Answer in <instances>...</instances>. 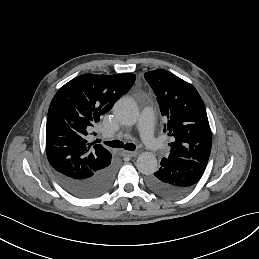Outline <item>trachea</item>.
I'll return each mask as SVG.
<instances>
[{"instance_id": "trachea-1", "label": "trachea", "mask_w": 259, "mask_h": 259, "mask_svg": "<svg viewBox=\"0 0 259 259\" xmlns=\"http://www.w3.org/2000/svg\"><path fill=\"white\" fill-rule=\"evenodd\" d=\"M98 142H101V139H98ZM104 144L107 146H110L112 148H124L125 150L134 151L136 149V146L133 143H126L119 140H113V141H103Z\"/></svg>"}]
</instances>
